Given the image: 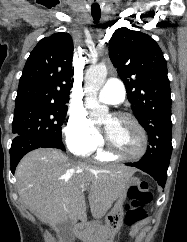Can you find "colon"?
<instances>
[{
    "instance_id": "1",
    "label": "colon",
    "mask_w": 187,
    "mask_h": 242,
    "mask_svg": "<svg viewBox=\"0 0 187 242\" xmlns=\"http://www.w3.org/2000/svg\"><path fill=\"white\" fill-rule=\"evenodd\" d=\"M130 202L126 206L125 223L133 226L143 221L146 216L145 207L151 202L152 194L146 182L132 186L128 192Z\"/></svg>"
}]
</instances>
